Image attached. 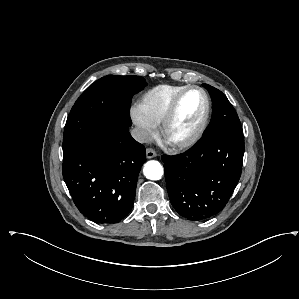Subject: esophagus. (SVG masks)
<instances>
[{
    "instance_id": "1",
    "label": "esophagus",
    "mask_w": 299,
    "mask_h": 299,
    "mask_svg": "<svg viewBox=\"0 0 299 299\" xmlns=\"http://www.w3.org/2000/svg\"><path fill=\"white\" fill-rule=\"evenodd\" d=\"M156 155L157 154L153 149H151V148L146 149V157L148 159L154 158V157H156Z\"/></svg>"
}]
</instances>
